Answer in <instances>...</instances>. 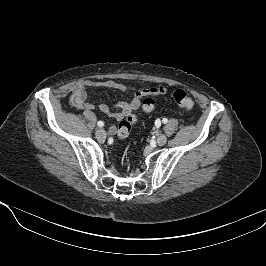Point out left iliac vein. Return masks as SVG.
<instances>
[{
    "label": "left iliac vein",
    "instance_id": "left-iliac-vein-1",
    "mask_svg": "<svg viewBox=\"0 0 266 266\" xmlns=\"http://www.w3.org/2000/svg\"><path fill=\"white\" fill-rule=\"evenodd\" d=\"M166 141H167V137H166L164 134H160V135L158 136V138H157V144H158L159 146L164 145V144L166 143Z\"/></svg>",
    "mask_w": 266,
    "mask_h": 266
}]
</instances>
